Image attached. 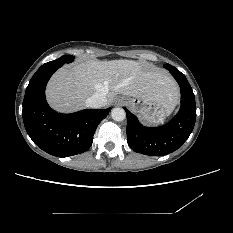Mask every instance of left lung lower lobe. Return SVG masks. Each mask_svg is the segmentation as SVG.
I'll return each instance as SVG.
<instances>
[{
  "mask_svg": "<svg viewBox=\"0 0 233 233\" xmlns=\"http://www.w3.org/2000/svg\"><path fill=\"white\" fill-rule=\"evenodd\" d=\"M170 71L181 89L179 112L167 124L150 128L144 127L126 108L127 142L137 153L162 156L179 149L190 136L196 121V104L193 90L185 75L174 66H164Z\"/></svg>",
  "mask_w": 233,
  "mask_h": 233,
  "instance_id": "obj_1",
  "label": "left lung lower lobe"
}]
</instances>
